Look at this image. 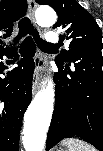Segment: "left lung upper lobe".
I'll return each mask as SVG.
<instances>
[{
    "mask_svg": "<svg viewBox=\"0 0 103 151\" xmlns=\"http://www.w3.org/2000/svg\"><path fill=\"white\" fill-rule=\"evenodd\" d=\"M49 5L58 13L53 28L60 27L65 33L60 38L70 40L69 50H62L56 62L68 63L81 50H102V33L93 16L76 0H36Z\"/></svg>",
    "mask_w": 103,
    "mask_h": 151,
    "instance_id": "1",
    "label": "left lung upper lobe"
}]
</instances>
